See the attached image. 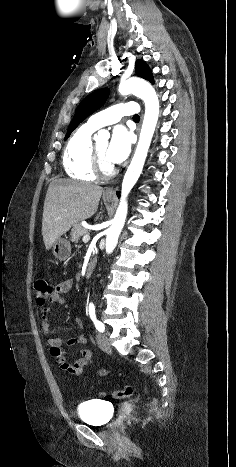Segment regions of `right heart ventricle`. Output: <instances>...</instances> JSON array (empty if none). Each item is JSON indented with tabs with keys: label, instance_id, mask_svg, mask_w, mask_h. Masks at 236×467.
Listing matches in <instances>:
<instances>
[{
	"label": "right heart ventricle",
	"instance_id": "1",
	"mask_svg": "<svg viewBox=\"0 0 236 467\" xmlns=\"http://www.w3.org/2000/svg\"><path fill=\"white\" fill-rule=\"evenodd\" d=\"M96 129L82 125L69 139L63 153L66 174L79 181H94L97 176L92 167V134Z\"/></svg>",
	"mask_w": 236,
	"mask_h": 467
}]
</instances>
